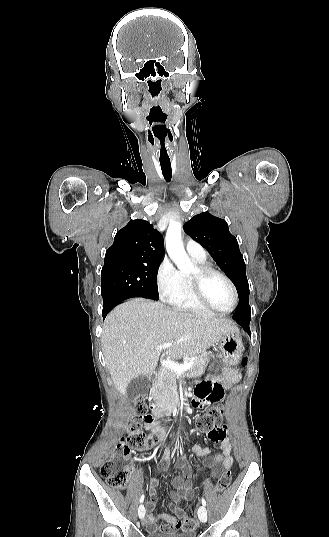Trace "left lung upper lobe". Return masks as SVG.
Here are the masks:
<instances>
[{
  "label": "left lung upper lobe",
  "instance_id": "1",
  "mask_svg": "<svg viewBox=\"0 0 329 537\" xmlns=\"http://www.w3.org/2000/svg\"><path fill=\"white\" fill-rule=\"evenodd\" d=\"M189 236L199 242L234 283L239 305L233 314L235 320L250 316L249 284L245 262L236 238L229 232L225 220L203 212L195 215L184 225Z\"/></svg>",
  "mask_w": 329,
  "mask_h": 537
}]
</instances>
